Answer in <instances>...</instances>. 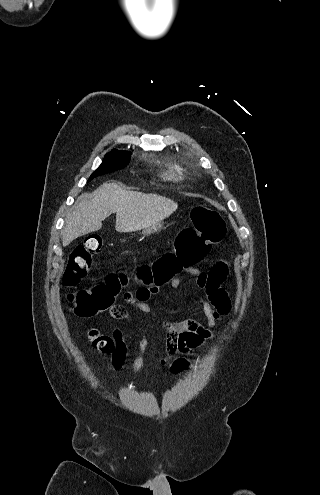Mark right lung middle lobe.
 Wrapping results in <instances>:
<instances>
[{
    "mask_svg": "<svg viewBox=\"0 0 320 495\" xmlns=\"http://www.w3.org/2000/svg\"><path fill=\"white\" fill-rule=\"evenodd\" d=\"M130 160V153L127 151H111L106 154L102 164L92 173L89 180L96 176L106 174L124 168Z\"/></svg>",
    "mask_w": 320,
    "mask_h": 495,
    "instance_id": "dd1d6c3e",
    "label": "right lung middle lobe"
}]
</instances>
